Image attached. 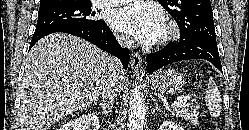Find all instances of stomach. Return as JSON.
<instances>
[{
    "mask_svg": "<svg viewBox=\"0 0 249 130\" xmlns=\"http://www.w3.org/2000/svg\"><path fill=\"white\" fill-rule=\"evenodd\" d=\"M154 90L164 94H176L182 92L186 86L184 76L173 69H165L157 72L149 79Z\"/></svg>",
    "mask_w": 249,
    "mask_h": 130,
    "instance_id": "1",
    "label": "stomach"
}]
</instances>
